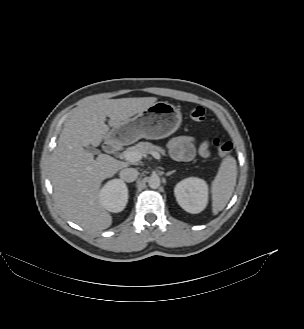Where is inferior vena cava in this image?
<instances>
[{"mask_svg": "<svg viewBox=\"0 0 304 329\" xmlns=\"http://www.w3.org/2000/svg\"><path fill=\"white\" fill-rule=\"evenodd\" d=\"M139 172L134 168H124L119 172L122 181L133 182L138 177Z\"/></svg>", "mask_w": 304, "mask_h": 329, "instance_id": "inferior-vena-cava-1", "label": "inferior vena cava"}]
</instances>
